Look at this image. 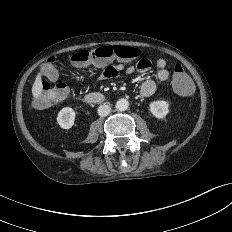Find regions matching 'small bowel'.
I'll return each mask as SVG.
<instances>
[{
    "mask_svg": "<svg viewBox=\"0 0 232 232\" xmlns=\"http://www.w3.org/2000/svg\"><path fill=\"white\" fill-rule=\"evenodd\" d=\"M97 67L102 68V72L99 75L97 82H102L107 79H111L119 76L122 73L132 74L135 71L140 73H146L152 67L151 60L143 58L138 61L136 66H126L122 63H115L113 65L105 64H96ZM156 66L158 68L156 77L159 81L165 82L169 79L170 73L167 69V62L163 58L156 60ZM156 91V82L152 79L145 80L140 87V95L144 98L150 97Z\"/></svg>",
    "mask_w": 232,
    "mask_h": 232,
    "instance_id": "c3829d8e",
    "label": "small bowel"
}]
</instances>
